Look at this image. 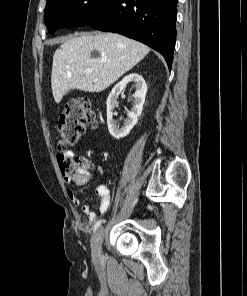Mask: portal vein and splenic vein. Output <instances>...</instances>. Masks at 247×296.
<instances>
[{"label":"portal vein and splenic vein","mask_w":247,"mask_h":296,"mask_svg":"<svg viewBox=\"0 0 247 296\" xmlns=\"http://www.w3.org/2000/svg\"><path fill=\"white\" fill-rule=\"evenodd\" d=\"M85 71H86L87 73H92V72H93V70H92L91 68H87Z\"/></svg>","instance_id":"obj_1"}]
</instances>
